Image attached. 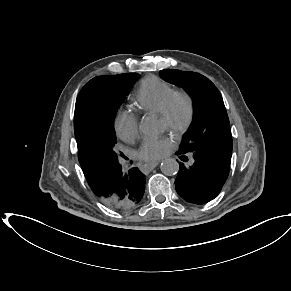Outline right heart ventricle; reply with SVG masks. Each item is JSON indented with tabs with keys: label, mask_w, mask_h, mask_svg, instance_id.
Listing matches in <instances>:
<instances>
[{
	"label": "right heart ventricle",
	"mask_w": 291,
	"mask_h": 291,
	"mask_svg": "<svg viewBox=\"0 0 291 291\" xmlns=\"http://www.w3.org/2000/svg\"><path fill=\"white\" fill-rule=\"evenodd\" d=\"M174 91L166 81L156 76L146 77L135 91L133 107L139 113H160Z\"/></svg>",
	"instance_id": "1"
}]
</instances>
